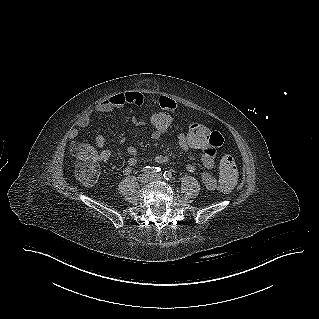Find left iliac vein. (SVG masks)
<instances>
[{"mask_svg":"<svg viewBox=\"0 0 319 319\" xmlns=\"http://www.w3.org/2000/svg\"><path fill=\"white\" fill-rule=\"evenodd\" d=\"M161 179H162V175L161 174L155 173V174L151 175V180H153V181H158V180H161Z\"/></svg>","mask_w":319,"mask_h":319,"instance_id":"left-iliac-vein-1","label":"left iliac vein"}]
</instances>
